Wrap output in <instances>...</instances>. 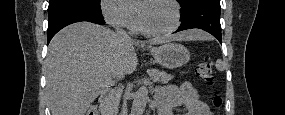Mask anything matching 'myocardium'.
Returning <instances> with one entry per match:
<instances>
[{
	"mask_svg": "<svg viewBox=\"0 0 285 115\" xmlns=\"http://www.w3.org/2000/svg\"><path fill=\"white\" fill-rule=\"evenodd\" d=\"M151 1H165V2H167L168 4H170L172 6L173 13H174V25H173V27H171L168 30L151 31V30H149V29L144 27V25L142 24L141 18L139 16V18H138V27H139L140 31L143 32L146 35L154 36V37H157V36H167V35H170V34L174 33L179 28L180 23H181V10H180V6H179L178 2L175 1V0H149V1H146V2H151Z\"/></svg>",
	"mask_w": 285,
	"mask_h": 115,
	"instance_id": "obj_1",
	"label": "myocardium"
}]
</instances>
